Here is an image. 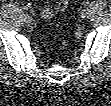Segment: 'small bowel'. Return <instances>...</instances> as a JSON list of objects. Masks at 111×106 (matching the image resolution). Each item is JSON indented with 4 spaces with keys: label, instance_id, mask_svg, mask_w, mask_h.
Returning a JSON list of instances; mask_svg holds the SVG:
<instances>
[{
    "label": "small bowel",
    "instance_id": "small-bowel-1",
    "mask_svg": "<svg viewBox=\"0 0 111 106\" xmlns=\"http://www.w3.org/2000/svg\"><path fill=\"white\" fill-rule=\"evenodd\" d=\"M68 3L69 2L67 0H60L57 1L55 4L46 5L41 12L42 18L51 19L58 12L64 11L67 8Z\"/></svg>",
    "mask_w": 111,
    "mask_h": 106
}]
</instances>
